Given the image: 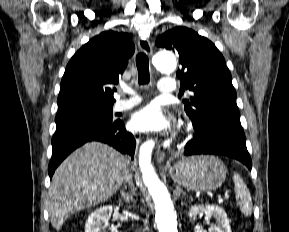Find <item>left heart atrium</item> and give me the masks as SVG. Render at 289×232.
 Returning <instances> with one entry per match:
<instances>
[{
  "mask_svg": "<svg viewBox=\"0 0 289 232\" xmlns=\"http://www.w3.org/2000/svg\"><path fill=\"white\" fill-rule=\"evenodd\" d=\"M132 127L140 132H166L171 128L169 119L155 105L137 111L131 120Z\"/></svg>",
  "mask_w": 289,
  "mask_h": 232,
  "instance_id": "1",
  "label": "left heart atrium"
}]
</instances>
